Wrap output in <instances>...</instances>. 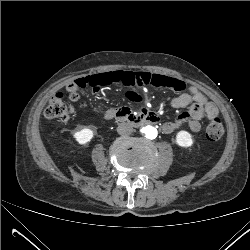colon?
<instances>
[{"mask_svg":"<svg viewBox=\"0 0 250 250\" xmlns=\"http://www.w3.org/2000/svg\"><path fill=\"white\" fill-rule=\"evenodd\" d=\"M166 79L156 74L135 73L128 70H112L98 73L90 77H83L69 82L65 90L69 96L75 98L79 91L86 88L120 83L126 86H134L137 82L159 87ZM75 114V107L65 100L64 92L55 93L47 104L44 115L49 119L68 121ZM224 134L221 120L216 116L211 119L206 128V137L210 141L219 140Z\"/></svg>","mask_w":250,"mask_h":250,"instance_id":"colon-1","label":"colon"}]
</instances>
